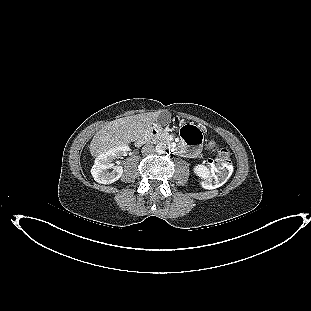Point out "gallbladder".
I'll return each mask as SVG.
<instances>
[{
  "instance_id": "obj_1",
  "label": "gallbladder",
  "mask_w": 311,
  "mask_h": 311,
  "mask_svg": "<svg viewBox=\"0 0 311 311\" xmlns=\"http://www.w3.org/2000/svg\"><path fill=\"white\" fill-rule=\"evenodd\" d=\"M171 119V114L168 111H162L156 122L160 125H167L170 122Z\"/></svg>"
}]
</instances>
